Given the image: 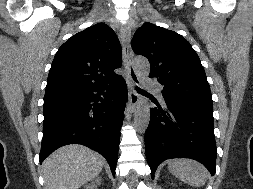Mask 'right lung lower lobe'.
Wrapping results in <instances>:
<instances>
[{"label":"right lung lower lobe","mask_w":253,"mask_h":189,"mask_svg":"<svg viewBox=\"0 0 253 189\" xmlns=\"http://www.w3.org/2000/svg\"><path fill=\"white\" fill-rule=\"evenodd\" d=\"M126 99L121 76L104 85L46 92L40 163L55 149L78 143L104 156L115 176Z\"/></svg>","instance_id":"98d812e1"}]
</instances>
